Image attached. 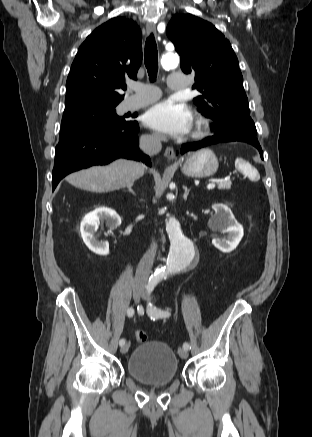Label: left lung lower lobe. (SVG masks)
Here are the masks:
<instances>
[{
	"instance_id": "left-lung-lower-lobe-1",
	"label": "left lung lower lobe",
	"mask_w": 312,
	"mask_h": 437,
	"mask_svg": "<svg viewBox=\"0 0 312 437\" xmlns=\"http://www.w3.org/2000/svg\"><path fill=\"white\" fill-rule=\"evenodd\" d=\"M231 141H239V140H237V138H235L227 133L217 131L215 133V135H213L212 137L206 138V139L199 141V142L182 145L180 153L184 154L188 151H194V150L200 149L202 147H205V146H208L211 144H216V143H220V142H231ZM249 144L255 146L259 150V152L262 156V149H261V146H260L258 141H252V142H249Z\"/></svg>"
}]
</instances>
